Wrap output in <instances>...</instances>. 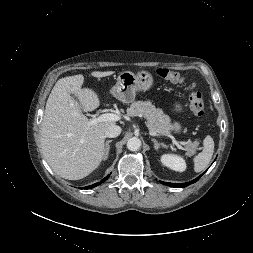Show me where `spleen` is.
<instances>
[{"mask_svg": "<svg viewBox=\"0 0 253 253\" xmlns=\"http://www.w3.org/2000/svg\"><path fill=\"white\" fill-rule=\"evenodd\" d=\"M203 151L194 158V171L201 172L211 161L214 152V141L211 136H206L203 141Z\"/></svg>", "mask_w": 253, "mask_h": 253, "instance_id": "1", "label": "spleen"}]
</instances>
